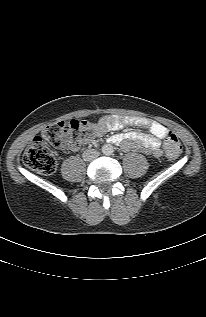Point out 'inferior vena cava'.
Masks as SVG:
<instances>
[{
    "label": "inferior vena cava",
    "instance_id": "obj_1",
    "mask_svg": "<svg viewBox=\"0 0 206 317\" xmlns=\"http://www.w3.org/2000/svg\"><path fill=\"white\" fill-rule=\"evenodd\" d=\"M98 156H99V152H97V151L94 150V149L86 150V151L83 153V159H84L85 161H92V160L96 159Z\"/></svg>",
    "mask_w": 206,
    "mask_h": 317
}]
</instances>
